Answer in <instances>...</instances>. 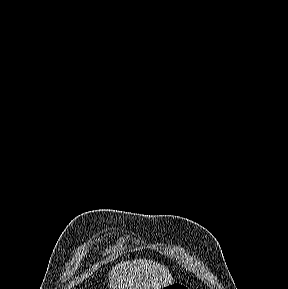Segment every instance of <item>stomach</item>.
<instances>
[{"label":"stomach","mask_w":288,"mask_h":289,"mask_svg":"<svg viewBox=\"0 0 288 289\" xmlns=\"http://www.w3.org/2000/svg\"><path fill=\"white\" fill-rule=\"evenodd\" d=\"M163 289H188V288L186 285L181 283H172L170 285L163 287Z\"/></svg>","instance_id":"0dacf381"}]
</instances>
